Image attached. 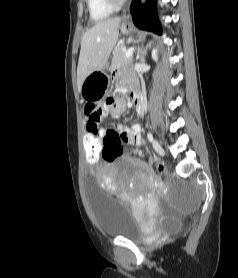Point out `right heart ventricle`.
<instances>
[{
    "mask_svg": "<svg viewBox=\"0 0 238 278\" xmlns=\"http://www.w3.org/2000/svg\"><path fill=\"white\" fill-rule=\"evenodd\" d=\"M90 19L94 22L102 21L108 18L112 9L109 8L104 0H86Z\"/></svg>",
    "mask_w": 238,
    "mask_h": 278,
    "instance_id": "e07e8e85",
    "label": "right heart ventricle"
}]
</instances>
